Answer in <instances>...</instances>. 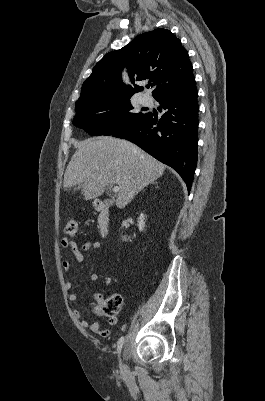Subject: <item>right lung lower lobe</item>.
Masks as SVG:
<instances>
[{
    "instance_id": "1",
    "label": "right lung lower lobe",
    "mask_w": 265,
    "mask_h": 401,
    "mask_svg": "<svg viewBox=\"0 0 265 401\" xmlns=\"http://www.w3.org/2000/svg\"><path fill=\"white\" fill-rule=\"evenodd\" d=\"M196 83L173 93L161 94V118L147 113L133 125L114 133L129 140L164 164L174 168L191 190L197 164L198 103Z\"/></svg>"
}]
</instances>
